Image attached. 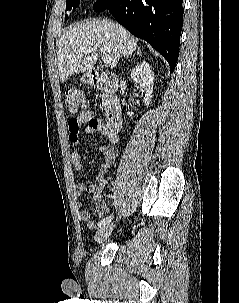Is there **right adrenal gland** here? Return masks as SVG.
I'll use <instances>...</instances> for the list:
<instances>
[{
  "mask_svg": "<svg viewBox=\"0 0 239 303\" xmlns=\"http://www.w3.org/2000/svg\"><path fill=\"white\" fill-rule=\"evenodd\" d=\"M137 55H139V56L141 55V52H140V49H139V48H138V50H137ZM126 57H127V58H128V57H131V55H130V56H126Z\"/></svg>",
  "mask_w": 239,
  "mask_h": 303,
  "instance_id": "1",
  "label": "right adrenal gland"
}]
</instances>
